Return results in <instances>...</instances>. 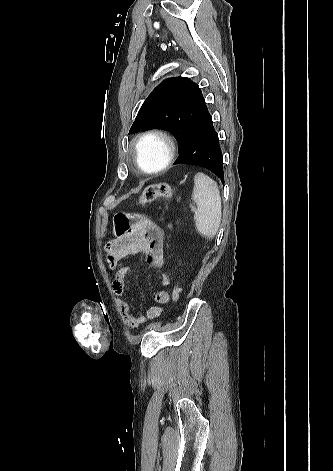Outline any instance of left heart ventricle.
<instances>
[{"mask_svg": "<svg viewBox=\"0 0 333 471\" xmlns=\"http://www.w3.org/2000/svg\"><path fill=\"white\" fill-rule=\"evenodd\" d=\"M165 155V147L158 139H148L139 148V158L146 169L158 167L163 162Z\"/></svg>", "mask_w": 333, "mask_h": 471, "instance_id": "left-heart-ventricle-1", "label": "left heart ventricle"}]
</instances>
